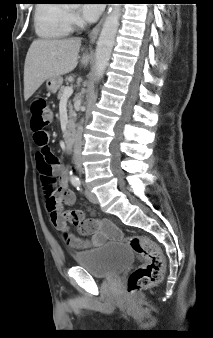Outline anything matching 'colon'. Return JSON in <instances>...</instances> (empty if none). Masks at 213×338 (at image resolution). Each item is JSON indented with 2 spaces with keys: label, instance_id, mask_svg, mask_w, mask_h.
<instances>
[{
  "label": "colon",
  "instance_id": "1",
  "mask_svg": "<svg viewBox=\"0 0 213 338\" xmlns=\"http://www.w3.org/2000/svg\"><path fill=\"white\" fill-rule=\"evenodd\" d=\"M30 109L34 142L43 149L49 141V134L45 128L53 121L52 113L42 98L32 100ZM53 162L54 160L46 156L44 151L39 153L37 169L39 174L46 179L44 185L46 209L51 222H53V218H55V214L58 211V203L55 200L57 182L53 178L55 172ZM68 217L73 223L77 222L72 212L69 213ZM126 241L131 249L142 259L141 265L128 278V292L135 293L156 285L162 279L164 273V257L158 244L143 235H131L127 237Z\"/></svg>",
  "mask_w": 213,
  "mask_h": 338
}]
</instances>
